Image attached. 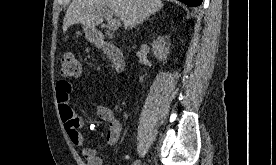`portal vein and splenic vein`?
<instances>
[{
    "instance_id": "18ae733b",
    "label": "portal vein and splenic vein",
    "mask_w": 276,
    "mask_h": 165,
    "mask_svg": "<svg viewBox=\"0 0 276 165\" xmlns=\"http://www.w3.org/2000/svg\"><path fill=\"white\" fill-rule=\"evenodd\" d=\"M101 15L106 17L107 25L109 29L116 30L119 26H121L120 21L112 17L110 10L103 9L101 11Z\"/></svg>"
}]
</instances>
